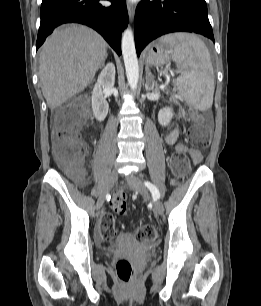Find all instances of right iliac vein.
<instances>
[{
  "label": "right iliac vein",
  "mask_w": 261,
  "mask_h": 306,
  "mask_svg": "<svg viewBox=\"0 0 261 306\" xmlns=\"http://www.w3.org/2000/svg\"><path fill=\"white\" fill-rule=\"evenodd\" d=\"M117 179H118V172L116 170H113L109 174L108 179L97 199V209L98 210H100L103 207L106 196L110 192L114 184L116 183Z\"/></svg>",
  "instance_id": "obj_1"
}]
</instances>
